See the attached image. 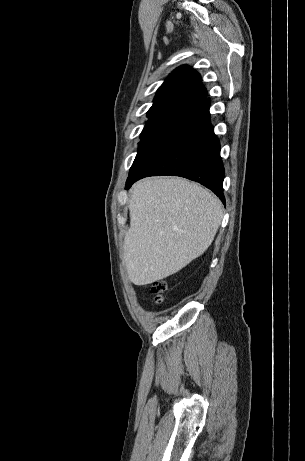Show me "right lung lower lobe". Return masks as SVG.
Masks as SVG:
<instances>
[{
  "mask_svg": "<svg viewBox=\"0 0 305 461\" xmlns=\"http://www.w3.org/2000/svg\"><path fill=\"white\" fill-rule=\"evenodd\" d=\"M209 99L183 113L166 137L135 166L126 188L143 177L174 175L199 182L225 204L220 143L210 123Z\"/></svg>",
  "mask_w": 305,
  "mask_h": 461,
  "instance_id": "obj_1",
  "label": "right lung lower lobe"
}]
</instances>
